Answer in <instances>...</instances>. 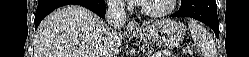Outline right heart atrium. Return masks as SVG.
<instances>
[{
	"mask_svg": "<svg viewBox=\"0 0 249 57\" xmlns=\"http://www.w3.org/2000/svg\"><path fill=\"white\" fill-rule=\"evenodd\" d=\"M111 6H113L115 9H122L124 4L121 1H111L109 2Z\"/></svg>",
	"mask_w": 249,
	"mask_h": 57,
	"instance_id": "right-heart-atrium-1",
	"label": "right heart atrium"
}]
</instances>
